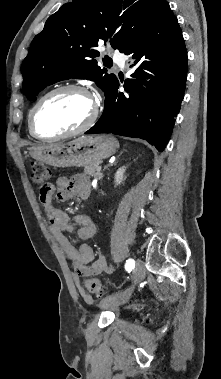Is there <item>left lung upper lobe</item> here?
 I'll return each mask as SVG.
<instances>
[{
	"mask_svg": "<svg viewBox=\"0 0 221 379\" xmlns=\"http://www.w3.org/2000/svg\"><path fill=\"white\" fill-rule=\"evenodd\" d=\"M166 0H73L45 23L22 63L23 92L31 100L46 86L89 79L104 91L117 79L96 59L99 42L124 52L154 22ZM106 59H104L105 61Z\"/></svg>",
	"mask_w": 221,
	"mask_h": 379,
	"instance_id": "1",
	"label": "left lung upper lobe"
}]
</instances>
